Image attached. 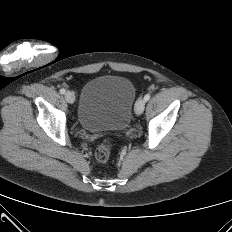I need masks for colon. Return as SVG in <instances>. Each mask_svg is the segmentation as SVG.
<instances>
[{"mask_svg": "<svg viewBox=\"0 0 232 232\" xmlns=\"http://www.w3.org/2000/svg\"><path fill=\"white\" fill-rule=\"evenodd\" d=\"M111 154V144L108 141L101 143L96 151L95 157L99 162H106Z\"/></svg>", "mask_w": 232, "mask_h": 232, "instance_id": "colon-1", "label": "colon"}]
</instances>
